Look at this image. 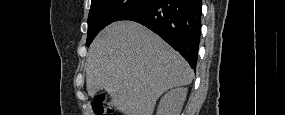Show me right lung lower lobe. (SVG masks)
I'll use <instances>...</instances> for the list:
<instances>
[{
    "label": "right lung lower lobe",
    "instance_id": "1",
    "mask_svg": "<svg viewBox=\"0 0 285 115\" xmlns=\"http://www.w3.org/2000/svg\"><path fill=\"white\" fill-rule=\"evenodd\" d=\"M201 0H151L119 20L138 22L157 33L195 70L201 36Z\"/></svg>",
    "mask_w": 285,
    "mask_h": 115
}]
</instances>
